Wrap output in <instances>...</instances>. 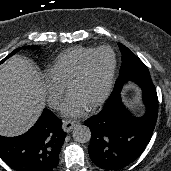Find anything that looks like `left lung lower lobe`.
Instances as JSON below:
<instances>
[{
    "label": "left lung lower lobe",
    "mask_w": 171,
    "mask_h": 171,
    "mask_svg": "<svg viewBox=\"0 0 171 171\" xmlns=\"http://www.w3.org/2000/svg\"><path fill=\"white\" fill-rule=\"evenodd\" d=\"M142 92L146 106L143 116H132L118 95L84 122L91 130L89 155L97 166L122 169L144 151L156 124L158 98L154 85L142 88Z\"/></svg>",
    "instance_id": "1"
}]
</instances>
